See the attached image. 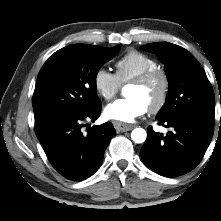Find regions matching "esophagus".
Segmentation results:
<instances>
[{
    "instance_id": "obj_1",
    "label": "esophagus",
    "mask_w": 221,
    "mask_h": 221,
    "mask_svg": "<svg viewBox=\"0 0 221 221\" xmlns=\"http://www.w3.org/2000/svg\"><path fill=\"white\" fill-rule=\"evenodd\" d=\"M113 125L118 132H126L132 130L135 126L132 124H126L119 121H114Z\"/></svg>"
}]
</instances>
